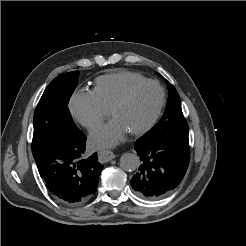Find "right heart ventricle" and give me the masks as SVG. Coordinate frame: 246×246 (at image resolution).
<instances>
[{"label": "right heart ventricle", "instance_id": "1", "mask_svg": "<svg viewBox=\"0 0 246 246\" xmlns=\"http://www.w3.org/2000/svg\"><path fill=\"white\" fill-rule=\"evenodd\" d=\"M145 79L135 72L116 71L97 77L91 92L99 105L109 110L128 87Z\"/></svg>", "mask_w": 246, "mask_h": 246}]
</instances>
